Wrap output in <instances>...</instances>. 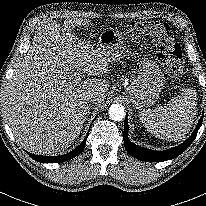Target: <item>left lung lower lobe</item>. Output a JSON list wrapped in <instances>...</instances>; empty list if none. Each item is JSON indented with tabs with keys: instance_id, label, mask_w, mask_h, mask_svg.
I'll list each match as a JSON object with an SVG mask.
<instances>
[{
	"instance_id": "obj_1",
	"label": "left lung lower lobe",
	"mask_w": 206,
	"mask_h": 206,
	"mask_svg": "<svg viewBox=\"0 0 206 206\" xmlns=\"http://www.w3.org/2000/svg\"><path fill=\"white\" fill-rule=\"evenodd\" d=\"M202 121H203V115L199 119L197 127L194 130V132L181 145L176 146V147L171 148V149H168V150H164V151H154V150H150V149H147L144 147H140V146L132 143L128 139V136H127L128 122H127V116H126L125 122H124V124H125L124 125V132H123L124 145H125V148L128 151V153L139 160L148 161V162H162V161H166L169 159H174V158L178 157L181 153H183L191 145V143L194 141V139L197 135V132H198L199 128L201 127Z\"/></svg>"
}]
</instances>
